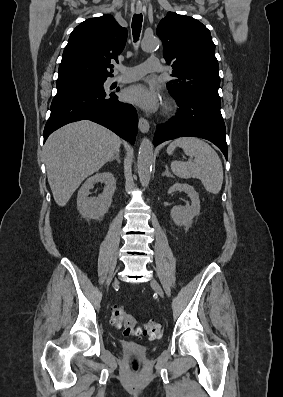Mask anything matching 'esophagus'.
<instances>
[{
    "instance_id": "34e87169",
    "label": "esophagus",
    "mask_w": 283,
    "mask_h": 397,
    "mask_svg": "<svg viewBox=\"0 0 283 397\" xmlns=\"http://www.w3.org/2000/svg\"><path fill=\"white\" fill-rule=\"evenodd\" d=\"M142 11H143L142 5H137L136 6V13L140 14ZM138 127H139V130L142 133H148V131L150 129L149 122L143 117L139 118Z\"/></svg>"
}]
</instances>
